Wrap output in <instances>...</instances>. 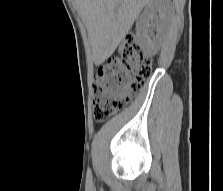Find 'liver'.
<instances>
[{
  "label": "liver",
  "instance_id": "6515ba94",
  "mask_svg": "<svg viewBox=\"0 0 223 191\" xmlns=\"http://www.w3.org/2000/svg\"><path fill=\"white\" fill-rule=\"evenodd\" d=\"M78 14L86 25L93 60L102 64L126 37L150 0H75Z\"/></svg>",
  "mask_w": 223,
  "mask_h": 191
}]
</instances>
